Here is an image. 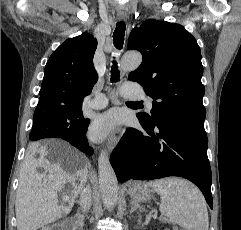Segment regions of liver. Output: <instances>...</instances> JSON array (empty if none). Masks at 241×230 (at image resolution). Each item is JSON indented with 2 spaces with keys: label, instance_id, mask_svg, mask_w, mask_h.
<instances>
[{
  "label": "liver",
  "instance_id": "6515ba94",
  "mask_svg": "<svg viewBox=\"0 0 241 230\" xmlns=\"http://www.w3.org/2000/svg\"><path fill=\"white\" fill-rule=\"evenodd\" d=\"M58 156L50 162L49 152ZM38 153L39 157H36ZM87 159L63 141H52L51 149L33 144L29 147L20 172L15 212L17 230H37L68 214L74 199L82 192L88 179ZM38 168H43L40 173ZM71 184L68 205L59 204L57 192Z\"/></svg>",
  "mask_w": 241,
  "mask_h": 230
}]
</instances>
